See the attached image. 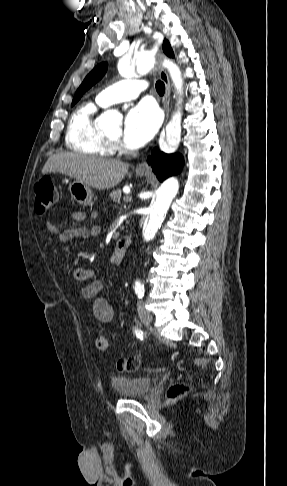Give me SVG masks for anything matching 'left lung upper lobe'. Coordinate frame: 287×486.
I'll list each match as a JSON object with an SVG mask.
<instances>
[{"instance_id":"obj_1","label":"left lung upper lobe","mask_w":287,"mask_h":486,"mask_svg":"<svg viewBox=\"0 0 287 486\" xmlns=\"http://www.w3.org/2000/svg\"><path fill=\"white\" fill-rule=\"evenodd\" d=\"M163 51L166 55L173 57V51L171 49V46L167 40L164 41L163 43ZM107 71V64L106 63H101L97 65L84 79L82 84L79 86L77 89L75 96L72 101V106L78 102V100L81 98V96L90 88L92 87L96 82H98L106 73Z\"/></svg>"}]
</instances>
